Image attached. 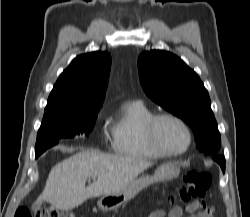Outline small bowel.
Returning a JSON list of instances; mask_svg holds the SVG:
<instances>
[{
    "label": "small bowel",
    "instance_id": "small-bowel-1",
    "mask_svg": "<svg viewBox=\"0 0 250 217\" xmlns=\"http://www.w3.org/2000/svg\"><path fill=\"white\" fill-rule=\"evenodd\" d=\"M186 212L189 213V217H210L207 213H200L199 208L196 205H189L186 207ZM183 209L179 206L173 207L168 212L162 209L154 210L149 217H182Z\"/></svg>",
    "mask_w": 250,
    "mask_h": 217
}]
</instances>
